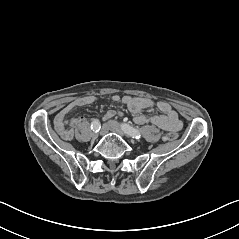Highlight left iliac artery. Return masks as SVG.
Instances as JSON below:
<instances>
[{
    "label": "left iliac artery",
    "mask_w": 239,
    "mask_h": 239,
    "mask_svg": "<svg viewBox=\"0 0 239 239\" xmlns=\"http://www.w3.org/2000/svg\"><path fill=\"white\" fill-rule=\"evenodd\" d=\"M121 126H122L123 131L126 134H128L129 136H131L132 138H135V139L141 138V133L139 132L138 129H136L126 123H123Z\"/></svg>",
    "instance_id": "1"
}]
</instances>
